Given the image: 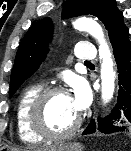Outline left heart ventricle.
<instances>
[{
  "label": "left heart ventricle",
  "mask_w": 131,
  "mask_h": 151,
  "mask_svg": "<svg viewBox=\"0 0 131 151\" xmlns=\"http://www.w3.org/2000/svg\"><path fill=\"white\" fill-rule=\"evenodd\" d=\"M77 118L78 113L68 94H57L49 99L45 110V124L50 131L63 132L69 129Z\"/></svg>",
  "instance_id": "obj_1"
}]
</instances>
